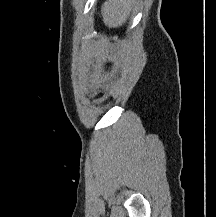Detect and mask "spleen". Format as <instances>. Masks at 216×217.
<instances>
[{
  "label": "spleen",
  "instance_id": "1",
  "mask_svg": "<svg viewBox=\"0 0 216 217\" xmlns=\"http://www.w3.org/2000/svg\"><path fill=\"white\" fill-rule=\"evenodd\" d=\"M135 4V0H107L101 7L103 21L106 26L117 28L122 26Z\"/></svg>",
  "mask_w": 216,
  "mask_h": 217
}]
</instances>
